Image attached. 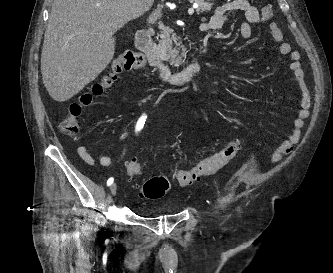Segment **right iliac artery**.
I'll return each mask as SVG.
<instances>
[{"instance_id": "82829eb1", "label": "right iliac artery", "mask_w": 333, "mask_h": 273, "mask_svg": "<svg viewBox=\"0 0 333 273\" xmlns=\"http://www.w3.org/2000/svg\"><path fill=\"white\" fill-rule=\"evenodd\" d=\"M146 118H147V116L144 114L139 118V120L137 121V124H136V132L140 131L144 127ZM113 181H114V179L112 177L109 178L107 181V185L110 186L113 183Z\"/></svg>"}]
</instances>
